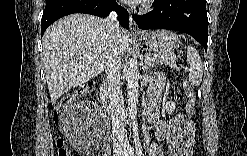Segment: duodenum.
<instances>
[{
    "label": "duodenum",
    "mask_w": 247,
    "mask_h": 156,
    "mask_svg": "<svg viewBox=\"0 0 247 156\" xmlns=\"http://www.w3.org/2000/svg\"><path fill=\"white\" fill-rule=\"evenodd\" d=\"M101 93H102L103 96H106L109 93V86H108V84L106 82L103 83V85L101 87Z\"/></svg>",
    "instance_id": "duodenum-1"
}]
</instances>
